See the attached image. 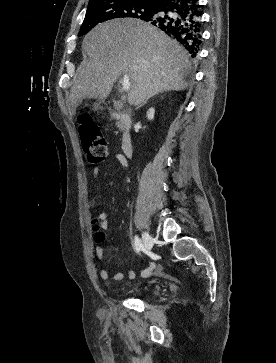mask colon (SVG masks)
Here are the masks:
<instances>
[{
    "instance_id": "colon-1",
    "label": "colon",
    "mask_w": 276,
    "mask_h": 363,
    "mask_svg": "<svg viewBox=\"0 0 276 363\" xmlns=\"http://www.w3.org/2000/svg\"><path fill=\"white\" fill-rule=\"evenodd\" d=\"M79 131L83 151L88 161L92 163L102 161L107 155L108 147L99 127L91 119L83 118ZM97 236L101 239L103 234L99 232Z\"/></svg>"
}]
</instances>
